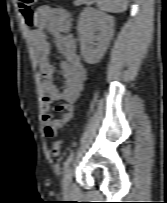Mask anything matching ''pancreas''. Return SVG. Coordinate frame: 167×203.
<instances>
[{
  "label": "pancreas",
  "instance_id": "1",
  "mask_svg": "<svg viewBox=\"0 0 167 203\" xmlns=\"http://www.w3.org/2000/svg\"><path fill=\"white\" fill-rule=\"evenodd\" d=\"M88 0H76L74 2V5L78 6V5H81V4H86Z\"/></svg>",
  "mask_w": 167,
  "mask_h": 203
}]
</instances>
